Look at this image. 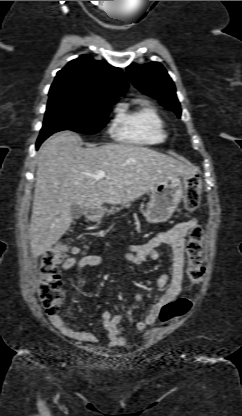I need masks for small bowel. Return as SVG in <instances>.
<instances>
[{"instance_id": "obj_1", "label": "small bowel", "mask_w": 242, "mask_h": 416, "mask_svg": "<svg viewBox=\"0 0 242 416\" xmlns=\"http://www.w3.org/2000/svg\"><path fill=\"white\" fill-rule=\"evenodd\" d=\"M198 225L197 218L179 222L171 229L163 232H156L144 243L129 244L123 250V257L126 261L141 265L149 259L159 257V247L168 245L172 249V268L169 273L162 274L156 280V289H166L160 299L154 303L144 319L137 322L135 329L144 331L153 325L159 317L161 308L178 298L185 289L184 280V260H185V240L188 232L194 226ZM105 264V260L98 255L71 256L66 258L61 267L63 270H70L75 267L79 268H100ZM144 298L143 292L135 295L137 302H141ZM103 328L109 339L110 347H125L127 339L121 335L119 325L123 321L120 313L112 315L109 311L101 314ZM53 325L67 338L80 343H95L99 340V334L90 331H78L71 328L68 323L59 315L50 316Z\"/></svg>"}]
</instances>
